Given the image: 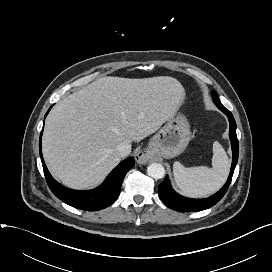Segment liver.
I'll use <instances>...</instances> for the list:
<instances>
[{"label":"liver","instance_id":"liver-1","mask_svg":"<svg viewBox=\"0 0 272 272\" xmlns=\"http://www.w3.org/2000/svg\"><path fill=\"white\" fill-rule=\"evenodd\" d=\"M184 99L185 90L173 77L95 80L48 115L42 140L48 169L70 188L95 186L120 162V143L157 131Z\"/></svg>","mask_w":272,"mask_h":272}]
</instances>
